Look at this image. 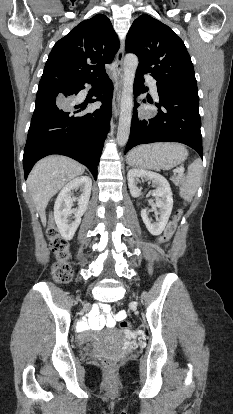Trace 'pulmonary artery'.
Segmentation results:
<instances>
[{"mask_svg": "<svg viewBox=\"0 0 233 414\" xmlns=\"http://www.w3.org/2000/svg\"><path fill=\"white\" fill-rule=\"evenodd\" d=\"M146 78H147V81L149 83L152 94L154 96H157V86H156L155 80L150 76H146Z\"/></svg>", "mask_w": 233, "mask_h": 414, "instance_id": "e3ab8cb5", "label": "pulmonary artery"}]
</instances>
